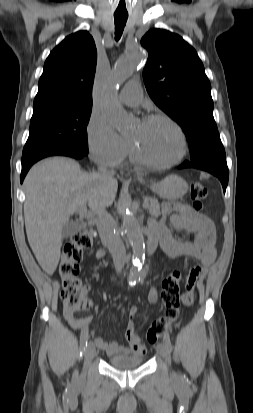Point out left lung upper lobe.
I'll return each instance as SVG.
<instances>
[{"label":"left lung upper lobe","instance_id":"obj_1","mask_svg":"<svg viewBox=\"0 0 253 413\" xmlns=\"http://www.w3.org/2000/svg\"><path fill=\"white\" fill-rule=\"evenodd\" d=\"M149 53L143 70L155 104L183 129L191 161L226 159L213 117L211 85L197 52L177 34L152 29L141 39Z\"/></svg>","mask_w":253,"mask_h":413}]
</instances>
